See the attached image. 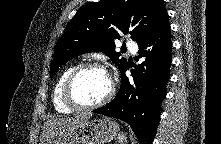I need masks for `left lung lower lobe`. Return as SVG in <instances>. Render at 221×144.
I'll return each mask as SVG.
<instances>
[{
    "label": "left lung lower lobe",
    "mask_w": 221,
    "mask_h": 144,
    "mask_svg": "<svg viewBox=\"0 0 221 144\" xmlns=\"http://www.w3.org/2000/svg\"><path fill=\"white\" fill-rule=\"evenodd\" d=\"M138 44L139 57H145V61L131 70L133 80L125 74L129 68L127 63L120 70L121 86L117 96L93 112L128 123L140 144H152L170 77L172 41L167 13Z\"/></svg>",
    "instance_id": "0a47b994"
}]
</instances>
